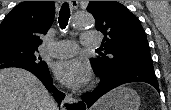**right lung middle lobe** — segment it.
<instances>
[{"label":"right lung middle lobe","instance_id":"obj_1","mask_svg":"<svg viewBox=\"0 0 171 110\" xmlns=\"http://www.w3.org/2000/svg\"><path fill=\"white\" fill-rule=\"evenodd\" d=\"M38 48L18 45H0V69L19 67L24 69L48 70L47 64L37 55Z\"/></svg>","mask_w":171,"mask_h":110}]
</instances>
